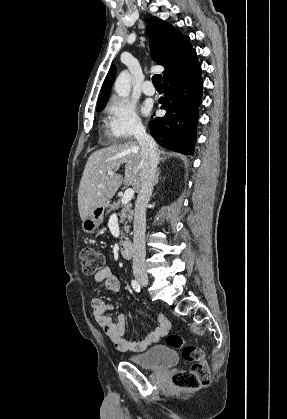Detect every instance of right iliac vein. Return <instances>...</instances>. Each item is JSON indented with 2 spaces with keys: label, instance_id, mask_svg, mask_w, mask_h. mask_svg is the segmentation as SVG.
Returning a JSON list of instances; mask_svg holds the SVG:
<instances>
[{
  "label": "right iliac vein",
  "instance_id": "1",
  "mask_svg": "<svg viewBox=\"0 0 287 419\" xmlns=\"http://www.w3.org/2000/svg\"><path fill=\"white\" fill-rule=\"evenodd\" d=\"M136 279L143 286H147L149 284L148 278H146V277H139L138 276Z\"/></svg>",
  "mask_w": 287,
  "mask_h": 419
}]
</instances>
